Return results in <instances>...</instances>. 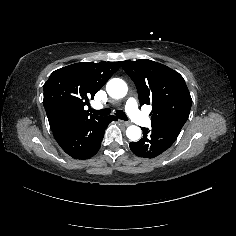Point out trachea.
<instances>
[{"label": "trachea", "mask_w": 236, "mask_h": 236, "mask_svg": "<svg viewBox=\"0 0 236 236\" xmlns=\"http://www.w3.org/2000/svg\"><path fill=\"white\" fill-rule=\"evenodd\" d=\"M90 110L93 114L99 115V116H107L111 113V110L109 108H105L102 110H94L91 108ZM116 116H117V118H119L121 120H124V121L128 120V117L126 116V114L122 110H117Z\"/></svg>", "instance_id": "trachea-1"}]
</instances>
